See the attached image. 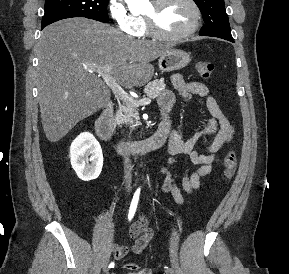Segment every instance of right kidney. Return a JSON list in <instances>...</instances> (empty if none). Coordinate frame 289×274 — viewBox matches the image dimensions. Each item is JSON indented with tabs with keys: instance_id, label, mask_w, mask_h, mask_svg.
<instances>
[{
	"instance_id": "ca27d5eb",
	"label": "right kidney",
	"mask_w": 289,
	"mask_h": 274,
	"mask_svg": "<svg viewBox=\"0 0 289 274\" xmlns=\"http://www.w3.org/2000/svg\"><path fill=\"white\" fill-rule=\"evenodd\" d=\"M70 160L72 168L81 180H94L100 175L103 166L102 149L91 133H81L72 142Z\"/></svg>"
}]
</instances>
